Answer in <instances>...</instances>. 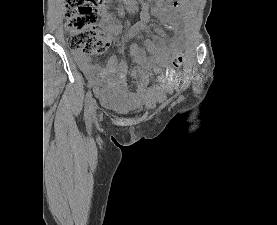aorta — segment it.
<instances>
[{
  "instance_id": "aorta-1",
  "label": "aorta",
  "mask_w": 277,
  "mask_h": 225,
  "mask_svg": "<svg viewBox=\"0 0 277 225\" xmlns=\"http://www.w3.org/2000/svg\"><path fill=\"white\" fill-rule=\"evenodd\" d=\"M127 11L133 14L136 11V0H124Z\"/></svg>"
}]
</instances>
